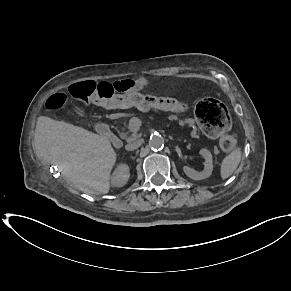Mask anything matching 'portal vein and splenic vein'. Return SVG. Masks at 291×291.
<instances>
[{
	"instance_id": "portal-vein-and-splenic-vein-1",
	"label": "portal vein and splenic vein",
	"mask_w": 291,
	"mask_h": 291,
	"mask_svg": "<svg viewBox=\"0 0 291 291\" xmlns=\"http://www.w3.org/2000/svg\"><path fill=\"white\" fill-rule=\"evenodd\" d=\"M141 126V120L138 118H134L131 122L130 129L133 132H137Z\"/></svg>"
}]
</instances>
